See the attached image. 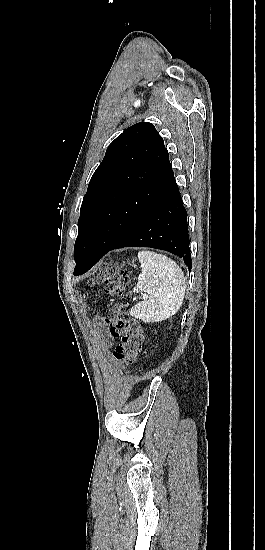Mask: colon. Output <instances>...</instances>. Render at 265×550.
<instances>
[{"instance_id":"obj_1","label":"colon","mask_w":265,"mask_h":550,"mask_svg":"<svg viewBox=\"0 0 265 550\" xmlns=\"http://www.w3.org/2000/svg\"><path fill=\"white\" fill-rule=\"evenodd\" d=\"M128 281L125 271L114 262L105 263L92 281L103 285L107 300L104 321L109 326L111 335L119 340L113 351V359L117 365L133 364L144 342L140 324L129 318L118 300Z\"/></svg>"}]
</instances>
